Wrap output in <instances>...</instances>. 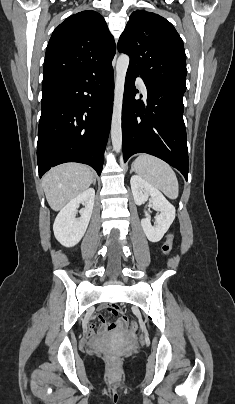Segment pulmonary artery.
<instances>
[{"mask_svg":"<svg viewBox=\"0 0 235 404\" xmlns=\"http://www.w3.org/2000/svg\"><path fill=\"white\" fill-rule=\"evenodd\" d=\"M137 84H138L139 88L142 90L143 94L147 95V89H146L145 83L141 78L137 79Z\"/></svg>","mask_w":235,"mask_h":404,"instance_id":"pulmonary-artery-1","label":"pulmonary artery"}]
</instances>
